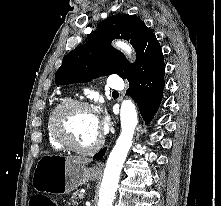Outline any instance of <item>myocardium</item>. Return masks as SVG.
Returning <instances> with one entry per match:
<instances>
[{"mask_svg": "<svg viewBox=\"0 0 221 206\" xmlns=\"http://www.w3.org/2000/svg\"><path fill=\"white\" fill-rule=\"evenodd\" d=\"M74 108H82L93 112L92 106L85 101L77 99L65 100L54 109L51 115V131L55 139L66 149L78 154L90 155L100 148L103 142V138L101 134H99L97 140L91 146L88 147H80L73 141L70 133L65 128L64 119L66 114Z\"/></svg>", "mask_w": 221, "mask_h": 206, "instance_id": "myocardium-1", "label": "myocardium"}]
</instances>
